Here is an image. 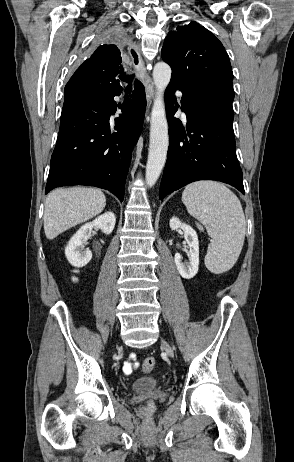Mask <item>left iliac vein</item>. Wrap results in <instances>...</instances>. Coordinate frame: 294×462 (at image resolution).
I'll return each instance as SVG.
<instances>
[{
	"label": "left iliac vein",
	"instance_id": "1",
	"mask_svg": "<svg viewBox=\"0 0 294 462\" xmlns=\"http://www.w3.org/2000/svg\"><path fill=\"white\" fill-rule=\"evenodd\" d=\"M162 345L164 346L166 352H167L169 355L172 356V355H173V350H172V348L170 347V345H169L166 341H164V340H162Z\"/></svg>",
	"mask_w": 294,
	"mask_h": 462
}]
</instances>
